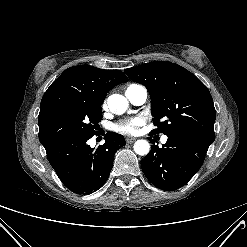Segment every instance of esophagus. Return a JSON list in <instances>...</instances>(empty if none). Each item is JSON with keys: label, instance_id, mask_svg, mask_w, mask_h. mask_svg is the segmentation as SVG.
<instances>
[{"label": "esophagus", "instance_id": "34e87169", "mask_svg": "<svg viewBox=\"0 0 247 247\" xmlns=\"http://www.w3.org/2000/svg\"><path fill=\"white\" fill-rule=\"evenodd\" d=\"M135 140H136V138H133V137L126 138L127 143H133Z\"/></svg>", "mask_w": 247, "mask_h": 247}]
</instances>
